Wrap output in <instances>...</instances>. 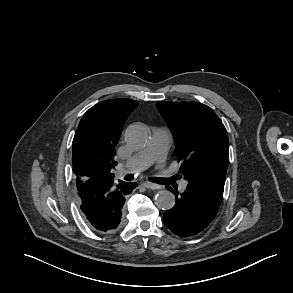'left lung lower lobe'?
I'll return each mask as SVG.
<instances>
[{"label": "left lung lower lobe", "instance_id": "left-lung-lower-lobe-1", "mask_svg": "<svg viewBox=\"0 0 293 293\" xmlns=\"http://www.w3.org/2000/svg\"><path fill=\"white\" fill-rule=\"evenodd\" d=\"M173 192L176 201L173 208L163 215L164 224L181 237L195 235L202 231L214 219L220 203L204 196L193 186L179 190L176 184L167 186Z\"/></svg>", "mask_w": 293, "mask_h": 293}]
</instances>
